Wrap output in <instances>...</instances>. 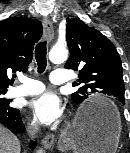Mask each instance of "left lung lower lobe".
Returning <instances> with one entry per match:
<instances>
[{
    "label": "left lung lower lobe",
    "instance_id": "0a47b994",
    "mask_svg": "<svg viewBox=\"0 0 130 153\" xmlns=\"http://www.w3.org/2000/svg\"><path fill=\"white\" fill-rule=\"evenodd\" d=\"M122 104H125V102ZM102 110H106V108H102ZM99 112H100V109L98 108H86L82 112V117L84 119H90L91 117L96 116Z\"/></svg>",
    "mask_w": 130,
    "mask_h": 153
}]
</instances>
